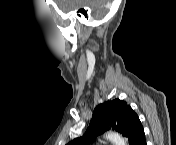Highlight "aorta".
<instances>
[{
	"mask_svg": "<svg viewBox=\"0 0 176 145\" xmlns=\"http://www.w3.org/2000/svg\"><path fill=\"white\" fill-rule=\"evenodd\" d=\"M106 139L110 140L115 145H125V141L122 136L116 132H109L106 134Z\"/></svg>",
	"mask_w": 176,
	"mask_h": 145,
	"instance_id": "obj_1",
	"label": "aorta"
}]
</instances>
